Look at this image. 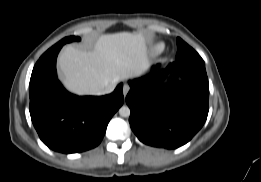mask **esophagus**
Instances as JSON below:
<instances>
[{"label": "esophagus", "instance_id": "esophagus-1", "mask_svg": "<svg viewBox=\"0 0 261 182\" xmlns=\"http://www.w3.org/2000/svg\"><path fill=\"white\" fill-rule=\"evenodd\" d=\"M129 90H130V86L127 84H124V86H123L124 97L128 94Z\"/></svg>", "mask_w": 261, "mask_h": 182}]
</instances>
